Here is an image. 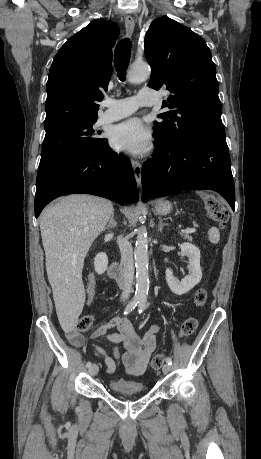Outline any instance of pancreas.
Returning a JSON list of instances; mask_svg holds the SVG:
<instances>
[{
	"mask_svg": "<svg viewBox=\"0 0 261 459\" xmlns=\"http://www.w3.org/2000/svg\"><path fill=\"white\" fill-rule=\"evenodd\" d=\"M182 236H183L185 239H187L188 241H192V237H191V236H189V235H187V234H185V235L182 234Z\"/></svg>",
	"mask_w": 261,
	"mask_h": 459,
	"instance_id": "cf45deb5",
	"label": "pancreas"
}]
</instances>
